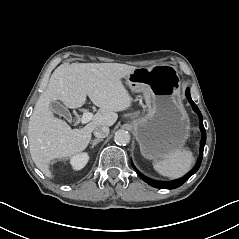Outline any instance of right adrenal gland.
<instances>
[{
  "label": "right adrenal gland",
  "mask_w": 239,
  "mask_h": 239,
  "mask_svg": "<svg viewBox=\"0 0 239 239\" xmlns=\"http://www.w3.org/2000/svg\"><path fill=\"white\" fill-rule=\"evenodd\" d=\"M104 139L101 138V139H94L93 142L91 143V147L90 149L93 150L95 145L98 144L99 142L103 141Z\"/></svg>",
  "instance_id": "right-adrenal-gland-1"
}]
</instances>
